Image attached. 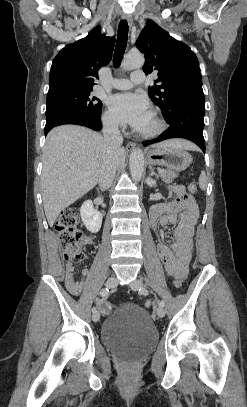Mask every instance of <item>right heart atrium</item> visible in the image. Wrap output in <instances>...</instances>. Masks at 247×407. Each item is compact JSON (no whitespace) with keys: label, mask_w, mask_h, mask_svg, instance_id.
<instances>
[{"label":"right heart atrium","mask_w":247,"mask_h":407,"mask_svg":"<svg viewBox=\"0 0 247 407\" xmlns=\"http://www.w3.org/2000/svg\"><path fill=\"white\" fill-rule=\"evenodd\" d=\"M102 122L107 128L111 130H117L120 128V122L110 110H106L103 112Z\"/></svg>","instance_id":"1"}]
</instances>
